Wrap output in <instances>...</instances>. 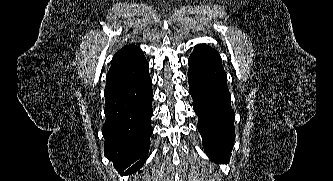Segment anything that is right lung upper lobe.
Returning a JSON list of instances; mask_svg holds the SVG:
<instances>
[{"instance_id":"right-lung-upper-lobe-1","label":"right lung upper lobe","mask_w":333,"mask_h":181,"mask_svg":"<svg viewBox=\"0 0 333 181\" xmlns=\"http://www.w3.org/2000/svg\"><path fill=\"white\" fill-rule=\"evenodd\" d=\"M148 73V63L136 45H127L113 57L106 76L104 95L124 87Z\"/></svg>"}]
</instances>
